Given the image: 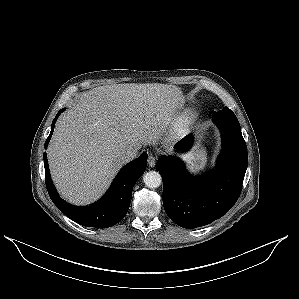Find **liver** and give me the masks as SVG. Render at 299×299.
<instances>
[{
    "mask_svg": "<svg viewBox=\"0 0 299 299\" xmlns=\"http://www.w3.org/2000/svg\"><path fill=\"white\" fill-rule=\"evenodd\" d=\"M182 101L176 86L159 83L85 92L58 120L47 150L60 194L76 205L99 199L125 164L121 154L129 147L154 145L170 126L176 127Z\"/></svg>",
    "mask_w": 299,
    "mask_h": 299,
    "instance_id": "obj_1",
    "label": "liver"
}]
</instances>
